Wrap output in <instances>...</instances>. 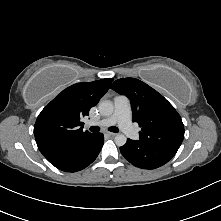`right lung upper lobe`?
Returning a JSON list of instances; mask_svg holds the SVG:
<instances>
[{
	"instance_id": "1",
	"label": "right lung upper lobe",
	"mask_w": 221,
	"mask_h": 221,
	"mask_svg": "<svg viewBox=\"0 0 221 221\" xmlns=\"http://www.w3.org/2000/svg\"><path fill=\"white\" fill-rule=\"evenodd\" d=\"M112 78L77 83L59 93L39 114L34 135L49 162L57 160L73 143L92 135L83 131L81 119L108 91Z\"/></svg>"
}]
</instances>
